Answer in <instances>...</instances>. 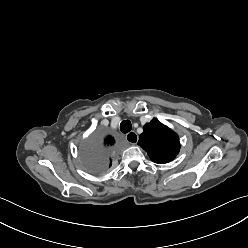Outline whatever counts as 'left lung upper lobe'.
<instances>
[{
    "label": "left lung upper lobe",
    "mask_w": 248,
    "mask_h": 248,
    "mask_svg": "<svg viewBox=\"0 0 248 248\" xmlns=\"http://www.w3.org/2000/svg\"><path fill=\"white\" fill-rule=\"evenodd\" d=\"M138 144L158 164L173 160L180 148L178 135L155 118L144 125Z\"/></svg>",
    "instance_id": "5c2ea615"
}]
</instances>
